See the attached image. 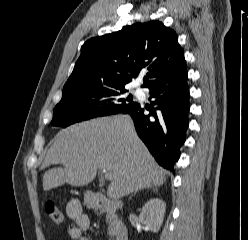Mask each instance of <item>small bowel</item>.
<instances>
[{"mask_svg": "<svg viewBox=\"0 0 248 240\" xmlns=\"http://www.w3.org/2000/svg\"><path fill=\"white\" fill-rule=\"evenodd\" d=\"M67 216L74 221L75 225L68 229L70 240H91L84 235V231L90 226V218L83 211L82 205L78 200H71L66 206Z\"/></svg>", "mask_w": 248, "mask_h": 240, "instance_id": "small-bowel-1", "label": "small bowel"}]
</instances>
